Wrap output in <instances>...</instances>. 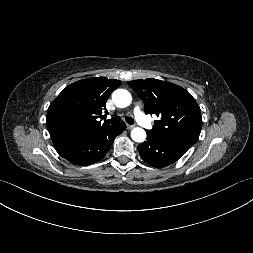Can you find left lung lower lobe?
I'll return each mask as SVG.
<instances>
[{
	"label": "left lung lower lobe",
	"instance_id": "1",
	"mask_svg": "<svg viewBox=\"0 0 253 253\" xmlns=\"http://www.w3.org/2000/svg\"><path fill=\"white\" fill-rule=\"evenodd\" d=\"M147 140L138 146L140 156L154 167L163 168L182 157L190 148L185 144L158 138L147 131Z\"/></svg>",
	"mask_w": 253,
	"mask_h": 253
}]
</instances>
